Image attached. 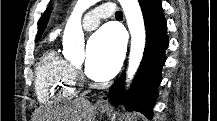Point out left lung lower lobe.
Returning a JSON list of instances; mask_svg holds the SVG:
<instances>
[{
  "mask_svg": "<svg viewBox=\"0 0 217 121\" xmlns=\"http://www.w3.org/2000/svg\"><path fill=\"white\" fill-rule=\"evenodd\" d=\"M146 28V48L130 90L126 93L125 106L129 111H139L148 119L153 117V107L161 83V71L168 47L167 23L160 0H139ZM125 75L111 89L109 102L117 106L124 93Z\"/></svg>",
  "mask_w": 217,
  "mask_h": 121,
  "instance_id": "1",
  "label": "left lung lower lobe"
}]
</instances>
